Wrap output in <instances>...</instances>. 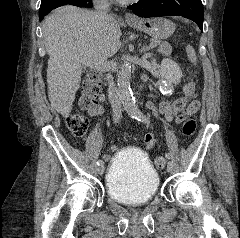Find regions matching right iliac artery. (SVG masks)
<instances>
[{"label":"right iliac artery","instance_id":"82829eb1","mask_svg":"<svg viewBox=\"0 0 240 238\" xmlns=\"http://www.w3.org/2000/svg\"><path fill=\"white\" fill-rule=\"evenodd\" d=\"M135 119H137V118H135ZM102 164H103V161H102V160H98V161H97V165H98V166H100V165H102Z\"/></svg>","mask_w":240,"mask_h":238}]
</instances>
